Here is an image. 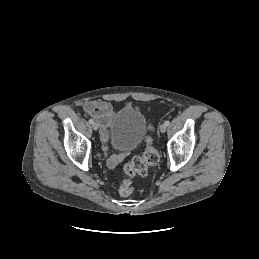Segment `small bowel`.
Instances as JSON below:
<instances>
[{"label": "small bowel", "instance_id": "1", "mask_svg": "<svg viewBox=\"0 0 259 259\" xmlns=\"http://www.w3.org/2000/svg\"><path fill=\"white\" fill-rule=\"evenodd\" d=\"M84 109L87 113L93 116L106 130L113 118V107L109 102L102 100H91L84 104ZM125 154L115 155L108 159L109 167H115L124 157Z\"/></svg>", "mask_w": 259, "mask_h": 259}]
</instances>
